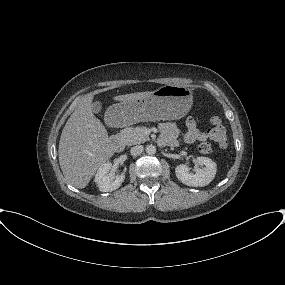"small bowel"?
I'll return each instance as SVG.
<instances>
[{
  "label": "small bowel",
  "instance_id": "1",
  "mask_svg": "<svg viewBox=\"0 0 285 285\" xmlns=\"http://www.w3.org/2000/svg\"><path fill=\"white\" fill-rule=\"evenodd\" d=\"M162 133L161 143L177 146L179 137V128L173 122H164L160 125ZM208 138V134L200 130L194 118H188L186 121V131L184 133V141L186 143H194L196 141L204 142Z\"/></svg>",
  "mask_w": 285,
  "mask_h": 285
}]
</instances>
